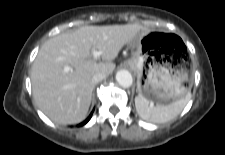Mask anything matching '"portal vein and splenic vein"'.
Here are the masks:
<instances>
[{"instance_id": "obj_1", "label": "portal vein and splenic vein", "mask_w": 225, "mask_h": 155, "mask_svg": "<svg viewBox=\"0 0 225 155\" xmlns=\"http://www.w3.org/2000/svg\"><path fill=\"white\" fill-rule=\"evenodd\" d=\"M101 54H102L101 51H93V56L95 59L99 58Z\"/></svg>"}]
</instances>
